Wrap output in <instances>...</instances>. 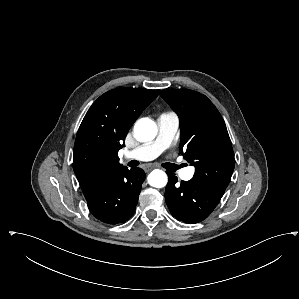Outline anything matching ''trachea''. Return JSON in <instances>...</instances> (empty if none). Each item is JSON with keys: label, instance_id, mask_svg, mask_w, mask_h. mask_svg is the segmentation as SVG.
Segmentation results:
<instances>
[{"label": "trachea", "instance_id": "trachea-1", "mask_svg": "<svg viewBox=\"0 0 299 299\" xmlns=\"http://www.w3.org/2000/svg\"><path fill=\"white\" fill-rule=\"evenodd\" d=\"M130 167H135V166H138L139 165V162L138 161H135V160H132L129 162L128 164ZM176 167H179V166H176Z\"/></svg>", "mask_w": 299, "mask_h": 299}]
</instances>
